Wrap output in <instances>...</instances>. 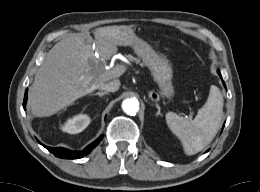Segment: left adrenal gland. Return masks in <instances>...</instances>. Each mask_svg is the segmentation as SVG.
<instances>
[{"instance_id":"obj_1","label":"left adrenal gland","mask_w":260,"mask_h":192,"mask_svg":"<svg viewBox=\"0 0 260 192\" xmlns=\"http://www.w3.org/2000/svg\"><path fill=\"white\" fill-rule=\"evenodd\" d=\"M156 107H157V109H158V111H157V116H162V114H161V112H160V106L158 105V104H156Z\"/></svg>"}]
</instances>
